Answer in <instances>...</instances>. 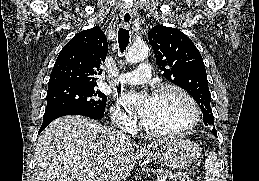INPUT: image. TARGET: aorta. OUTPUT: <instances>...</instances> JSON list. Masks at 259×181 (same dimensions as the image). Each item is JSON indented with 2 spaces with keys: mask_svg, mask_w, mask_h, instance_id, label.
Segmentation results:
<instances>
[{
  "mask_svg": "<svg viewBox=\"0 0 259 181\" xmlns=\"http://www.w3.org/2000/svg\"><path fill=\"white\" fill-rule=\"evenodd\" d=\"M149 48L146 44H133L125 55V61L130 64L138 63L148 57Z\"/></svg>",
  "mask_w": 259,
  "mask_h": 181,
  "instance_id": "aorta-1",
  "label": "aorta"
}]
</instances>
